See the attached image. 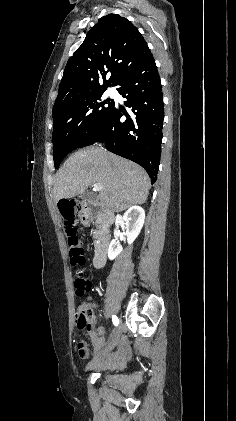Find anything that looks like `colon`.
Instances as JSON below:
<instances>
[{
  "label": "colon",
  "mask_w": 236,
  "mask_h": 421,
  "mask_svg": "<svg viewBox=\"0 0 236 421\" xmlns=\"http://www.w3.org/2000/svg\"><path fill=\"white\" fill-rule=\"evenodd\" d=\"M64 223L68 236L69 255L71 263L74 265H83L85 262V253L82 247V233L75 222V215L72 206L63 205ZM74 288L77 296H83L91 288V281L83 271H76L74 274ZM94 318L92 309L87 305H81L76 314L77 326L84 330L90 326ZM77 350L80 357L87 354L88 349L84 341H79Z\"/></svg>",
  "instance_id": "1"
}]
</instances>
